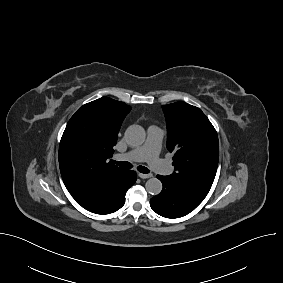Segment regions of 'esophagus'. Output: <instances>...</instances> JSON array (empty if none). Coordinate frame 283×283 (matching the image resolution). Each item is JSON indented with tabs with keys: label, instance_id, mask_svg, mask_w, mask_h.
<instances>
[{
	"label": "esophagus",
	"instance_id": "34e87169",
	"mask_svg": "<svg viewBox=\"0 0 283 283\" xmlns=\"http://www.w3.org/2000/svg\"><path fill=\"white\" fill-rule=\"evenodd\" d=\"M138 176L142 179H148L152 177V174H143V173H139Z\"/></svg>",
	"mask_w": 283,
	"mask_h": 283
}]
</instances>
